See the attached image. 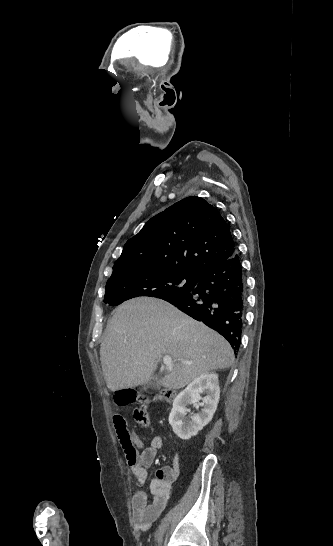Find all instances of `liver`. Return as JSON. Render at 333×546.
Listing matches in <instances>:
<instances>
[{
  "label": "liver",
  "mask_w": 333,
  "mask_h": 546,
  "mask_svg": "<svg viewBox=\"0 0 333 546\" xmlns=\"http://www.w3.org/2000/svg\"><path fill=\"white\" fill-rule=\"evenodd\" d=\"M165 355L173 363L162 385L171 389L234 362L233 350L222 336L163 300L135 298L119 305L100 347L108 389L146 384Z\"/></svg>",
  "instance_id": "obj_1"
}]
</instances>
